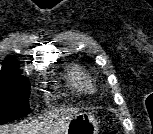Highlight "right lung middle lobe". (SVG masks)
Listing matches in <instances>:
<instances>
[{"label":"right lung middle lobe","instance_id":"1","mask_svg":"<svg viewBox=\"0 0 153 134\" xmlns=\"http://www.w3.org/2000/svg\"><path fill=\"white\" fill-rule=\"evenodd\" d=\"M29 96L28 78H0V124L28 115Z\"/></svg>","mask_w":153,"mask_h":134}]
</instances>
